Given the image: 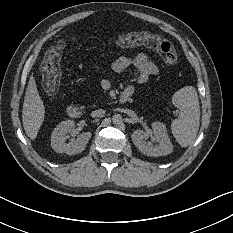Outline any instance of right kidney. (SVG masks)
<instances>
[{
  "instance_id": "1",
  "label": "right kidney",
  "mask_w": 233,
  "mask_h": 233,
  "mask_svg": "<svg viewBox=\"0 0 233 233\" xmlns=\"http://www.w3.org/2000/svg\"><path fill=\"white\" fill-rule=\"evenodd\" d=\"M74 128L75 122L73 120L62 121L57 125L51 135V147L55 152L76 155L85 150V147L92 136L91 132H83L77 136L75 141L65 143L67 133Z\"/></svg>"
}]
</instances>
